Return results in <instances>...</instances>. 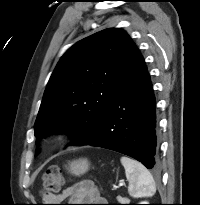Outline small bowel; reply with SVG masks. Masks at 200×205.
I'll return each instance as SVG.
<instances>
[{"mask_svg":"<svg viewBox=\"0 0 200 205\" xmlns=\"http://www.w3.org/2000/svg\"><path fill=\"white\" fill-rule=\"evenodd\" d=\"M69 199L72 202L102 203L105 200L99 195L91 181H82L64 189L60 194L44 198L46 203H60ZM58 205V204H46ZM73 205H105V204H73Z\"/></svg>","mask_w":200,"mask_h":205,"instance_id":"obj_1","label":"small bowel"}]
</instances>
